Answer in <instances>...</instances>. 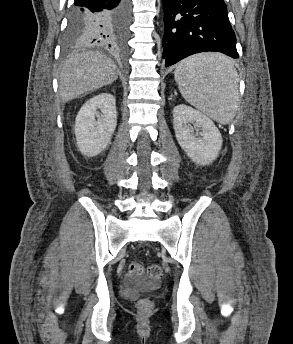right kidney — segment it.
I'll list each match as a JSON object with an SVG mask.
<instances>
[{"label":"right kidney","instance_id":"ca27d5eb","mask_svg":"<svg viewBox=\"0 0 293 344\" xmlns=\"http://www.w3.org/2000/svg\"><path fill=\"white\" fill-rule=\"evenodd\" d=\"M115 97L101 93L84 103L75 121V135L80 152L97 156L110 143L117 125Z\"/></svg>","mask_w":293,"mask_h":344}]
</instances>
